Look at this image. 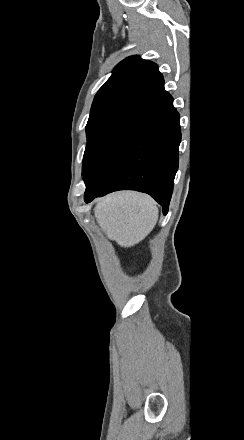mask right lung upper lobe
Listing matches in <instances>:
<instances>
[{
	"instance_id": "1",
	"label": "right lung upper lobe",
	"mask_w": 244,
	"mask_h": 440,
	"mask_svg": "<svg viewBox=\"0 0 244 440\" xmlns=\"http://www.w3.org/2000/svg\"><path fill=\"white\" fill-rule=\"evenodd\" d=\"M164 84L155 63L131 56L120 62L100 88L94 102L116 97L143 98Z\"/></svg>"
}]
</instances>
